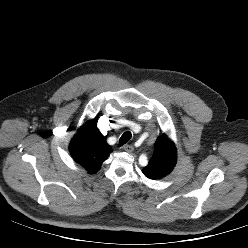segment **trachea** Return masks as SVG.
<instances>
[{
    "mask_svg": "<svg viewBox=\"0 0 248 248\" xmlns=\"http://www.w3.org/2000/svg\"><path fill=\"white\" fill-rule=\"evenodd\" d=\"M131 137H132V134L130 131L124 132L123 135L121 136L120 140H119V145L123 146L131 139Z\"/></svg>",
    "mask_w": 248,
    "mask_h": 248,
    "instance_id": "3493384b",
    "label": "trachea"
}]
</instances>
